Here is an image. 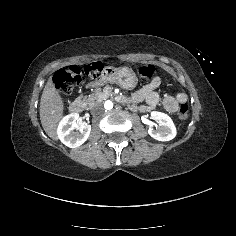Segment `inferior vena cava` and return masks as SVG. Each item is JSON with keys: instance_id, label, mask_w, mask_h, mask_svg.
<instances>
[{"instance_id": "obj_1", "label": "inferior vena cava", "mask_w": 236, "mask_h": 236, "mask_svg": "<svg viewBox=\"0 0 236 236\" xmlns=\"http://www.w3.org/2000/svg\"><path fill=\"white\" fill-rule=\"evenodd\" d=\"M103 112V106L101 104H96L91 108V113L99 114Z\"/></svg>"}]
</instances>
